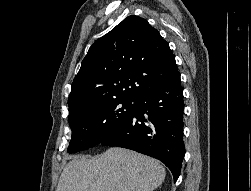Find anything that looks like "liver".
<instances>
[{
	"label": "liver",
	"mask_w": 251,
	"mask_h": 191,
	"mask_svg": "<svg viewBox=\"0 0 251 191\" xmlns=\"http://www.w3.org/2000/svg\"><path fill=\"white\" fill-rule=\"evenodd\" d=\"M166 171L153 157L123 147H109L98 159L73 157L56 191H153Z\"/></svg>",
	"instance_id": "obj_1"
}]
</instances>
